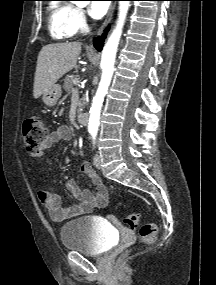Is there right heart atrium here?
<instances>
[{
  "mask_svg": "<svg viewBox=\"0 0 216 285\" xmlns=\"http://www.w3.org/2000/svg\"><path fill=\"white\" fill-rule=\"evenodd\" d=\"M73 22L76 31H84L88 26V20L85 12L81 8H74L73 11Z\"/></svg>",
  "mask_w": 216,
  "mask_h": 285,
  "instance_id": "1",
  "label": "right heart atrium"
}]
</instances>
